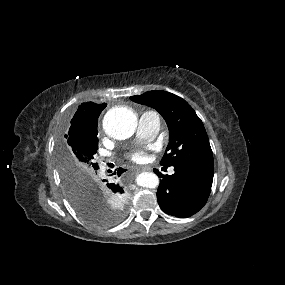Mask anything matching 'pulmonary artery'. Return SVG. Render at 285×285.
Returning a JSON list of instances; mask_svg holds the SVG:
<instances>
[{
    "label": "pulmonary artery",
    "mask_w": 285,
    "mask_h": 285,
    "mask_svg": "<svg viewBox=\"0 0 285 285\" xmlns=\"http://www.w3.org/2000/svg\"><path fill=\"white\" fill-rule=\"evenodd\" d=\"M160 129V116L154 111L144 112L139 119L138 136L143 139H151L157 135ZM173 173V170L170 171Z\"/></svg>",
    "instance_id": "obj_1"
}]
</instances>
